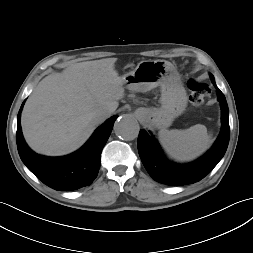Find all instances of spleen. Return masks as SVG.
Instances as JSON below:
<instances>
[{
    "instance_id": "obj_1",
    "label": "spleen",
    "mask_w": 253,
    "mask_h": 253,
    "mask_svg": "<svg viewBox=\"0 0 253 253\" xmlns=\"http://www.w3.org/2000/svg\"><path fill=\"white\" fill-rule=\"evenodd\" d=\"M159 139L166 152L179 161L192 160L211 145V135L204 125L196 124L185 130L159 131Z\"/></svg>"
}]
</instances>
